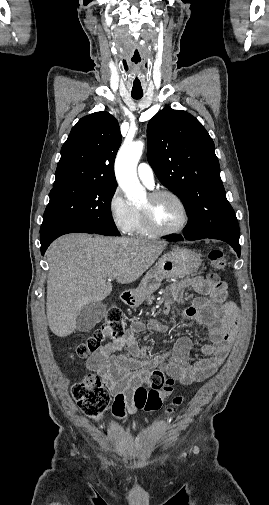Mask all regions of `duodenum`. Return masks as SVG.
I'll use <instances>...</instances> for the list:
<instances>
[{"instance_id":"410a0bca","label":"duodenum","mask_w":269,"mask_h":505,"mask_svg":"<svg viewBox=\"0 0 269 505\" xmlns=\"http://www.w3.org/2000/svg\"><path fill=\"white\" fill-rule=\"evenodd\" d=\"M121 301L128 305V306H133L136 304V297L134 293L132 292H124L120 295Z\"/></svg>"}]
</instances>
